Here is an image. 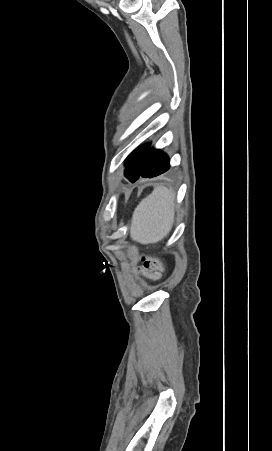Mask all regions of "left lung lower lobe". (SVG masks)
<instances>
[{
    "instance_id": "1",
    "label": "left lung lower lobe",
    "mask_w": 272,
    "mask_h": 451,
    "mask_svg": "<svg viewBox=\"0 0 272 451\" xmlns=\"http://www.w3.org/2000/svg\"><path fill=\"white\" fill-rule=\"evenodd\" d=\"M169 158L160 150L150 148L145 158L140 174L135 178H128L129 181L135 182L140 177L152 178L163 174L169 169Z\"/></svg>"
}]
</instances>
